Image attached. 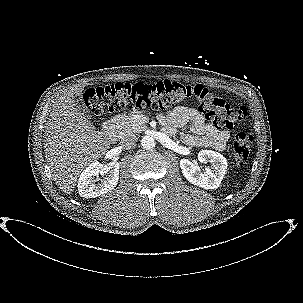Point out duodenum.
<instances>
[{
  "mask_svg": "<svg viewBox=\"0 0 303 303\" xmlns=\"http://www.w3.org/2000/svg\"><path fill=\"white\" fill-rule=\"evenodd\" d=\"M106 130L109 133L110 137H114V133H113L114 132V125L111 122H109L107 124Z\"/></svg>",
  "mask_w": 303,
  "mask_h": 303,
  "instance_id": "obj_1",
  "label": "duodenum"
}]
</instances>
